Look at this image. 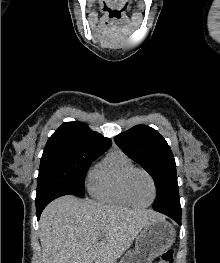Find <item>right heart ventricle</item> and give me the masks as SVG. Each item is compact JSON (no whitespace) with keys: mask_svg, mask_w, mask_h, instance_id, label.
Instances as JSON below:
<instances>
[{"mask_svg":"<svg viewBox=\"0 0 220 263\" xmlns=\"http://www.w3.org/2000/svg\"><path fill=\"white\" fill-rule=\"evenodd\" d=\"M134 168L132 160L119 150L110 151L90 172L88 191L103 203L130 206L123 191V180L129 170Z\"/></svg>","mask_w":220,"mask_h":263,"instance_id":"e07e8e85","label":"right heart ventricle"}]
</instances>
